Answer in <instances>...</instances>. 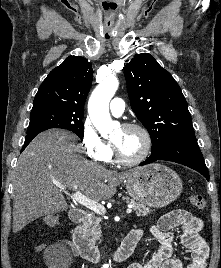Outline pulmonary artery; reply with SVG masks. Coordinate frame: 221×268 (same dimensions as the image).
I'll return each instance as SVG.
<instances>
[{
  "label": "pulmonary artery",
  "instance_id": "1",
  "mask_svg": "<svg viewBox=\"0 0 221 268\" xmlns=\"http://www.w3.org/2000/svg\"><path fill=\"white\" fill-rule=\"evenodd\" d=\"M125 109L124 101L121 98H114L110 103V112L113 116L119 117L123 114Z\"/></svg>",
  "mask_w": 221,
  "mask_h": 268
}]
</instances>
